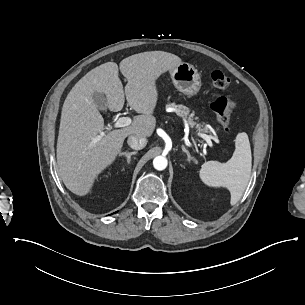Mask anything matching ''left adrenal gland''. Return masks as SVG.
I'll return each mask as SVG.
<instances>
[{
  "label": "left adrenal gland",
  "mask_w": 305,
  "mask_h": 305,
  "mask_svg": "<svg viewBox=\"0 0 305 305\" xmlns=\"http://www.w3.org/2000/svg\"><path fill=\"white\" fill-rule=\"evenodd\" d=\"M182 150H183L184 153L187 154L189 163L195 162V161L192 159V157L190 156V152H189L188 150H186L184 147L182 148Z\"/></svg>",
  "instance_id": "obj_1"
}]
</instances>
